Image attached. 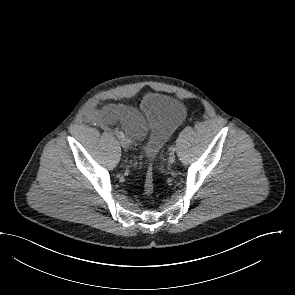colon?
Here are the masks:
<instances>
[{
	"label": "colon",
	"instance_id": "5ec220e1",
	"mask_svg": "<svg viewBox=\"0 0 295 295\" xmlns=\"http://www.w3.org/2000/svg\"><path fill=\"white\" fill-rule=\"evenodd\" d=\"M144 192L151 195L154 192V175L151 167L148 168L144 180Z\"/></svg>",
	"mask_w": 295,
	"mask_h": 295
}]
</instances>
